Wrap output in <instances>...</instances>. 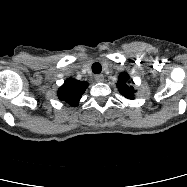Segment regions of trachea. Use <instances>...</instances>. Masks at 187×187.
Masks as SVG:
<instances>
[{"label":"trachea","instance_id":"obj_1","mask_svg":"<svg viewBox=\"0 0 187 187\" xmlns=\"http://www.w3.org/2000/svg\"><path fill=\"white\" fill-rule=\"evenodd\" d=\"M101 71H102L101 64L98 63V62L93 63V65H92V72L94 74H99V73H101Z\"/></svg>","mask_w":187,"mask_h":187}]
</instances>
